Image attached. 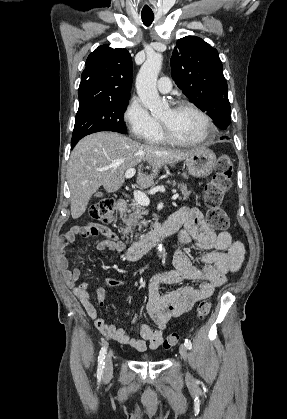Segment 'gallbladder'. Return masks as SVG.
Segmentation results:
<instances>
[{
	"mask_svg": "<svg viewBox=\"0 0 287 419\" xmlns=\"http://www.w3.org/2000/svg\"><path fill=\"white\" fill-rule=\"evenodd\" d=\"M103 194L101 192H96L95 197H101Z\"/></svg>",
	"mask_w": 287,
	"mask_h": 419,
	"instance_id": "bac80fb5",
	"label": "gallbladder"
}]
</instances>
